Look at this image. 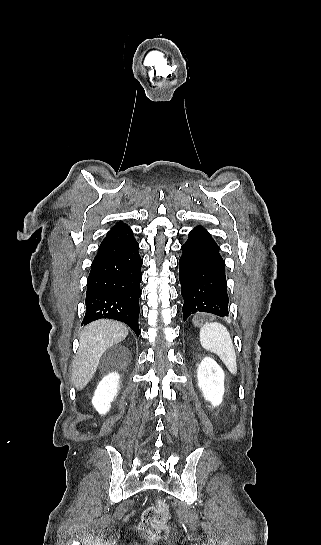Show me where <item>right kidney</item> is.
<instances>
[{
	"label": "right kidney",
	"instance_id": "ca27d5eb",
	"mask_svg": "<svg viewBox=\"0 0 321 545\" xmlns=\"http://www.w3.org/2000/svg\"><path fill=\"white\" fill-rule=\"evenodd\" d=\"M119 379L118 373H109L100 381L92 399V405L100 415H105L107 411H110L111 403L117 397Z\"/></svg>",
	"mask_w": 321,
	"mask_h": 545
}]
</instances>
